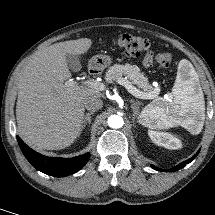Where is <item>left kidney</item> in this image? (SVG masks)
<instances>
[{"mask_svg": "<svg viewBox=\"0 0 215 215\" xmlns=\"http://www.w3.org/2000/svg\"><path fill=\"white\" fill-rule=\"evenodd\" d=\"M148 135L152 142L158 146H163L167 149H179L182 147L181 141L169 133L149 131Z\"/></svg>", "mask_w": 215, "mask_h": 215, "instance_id": "left-kidney-1", "label": "left kidney"}]
</instances>
